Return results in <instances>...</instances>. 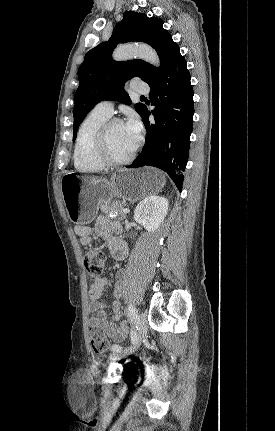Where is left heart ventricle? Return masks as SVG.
<instances>
[{"mask_svg": "<svg viewBox=\"0 0 275 431\" xmlns=\"http://www.w3.org/2000/svg\"><path fill=\"white\" fill-rule=\"evenodd\" d=\"M108 150L115 159H124L132 152L133 149L126 139L123 124H116L110 129Z\"/></svg>", "mask_w": 275, "mask_h": 431, "instance_id": "obj_1", "label": "left heart ventricle"}]
</instances>
